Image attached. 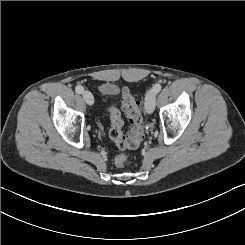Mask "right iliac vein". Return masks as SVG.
I'll use <instances>...</instances> for the list:
<instances>
[{"instance_id": "63e3f726", "label": "right iliac vein", "mask_w": 245, "mask_h": 245, "mask_svg": "<svg viewBox=\"0 0 245 245\" xmlns=\"http://www.w3.org/2000/svg\"><path fill=\"white\" fill-rule=\"evenodd\" d=\"M83 95V98L85 100V102L88 104V105H92L94 103V97L92 95V93L90 91H84L82 93Z\"/></svg>"}]
</instances>
